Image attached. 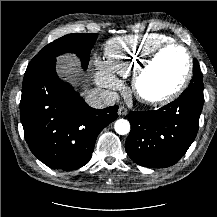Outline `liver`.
I'll use <instances>...</instances> for the list:
<instances>
[{"mask_svg":"<svg viewBox=\"0 0 217 217\" xmlns=\"http://www.w3.org/2000/svg\"><path fill=\"white\" fill-rule=\"evenodd\" d=\"M57 73L62 79L69 82H72L76 76L80 75L79 61L76 56L65 54L59 57L57 61Z\"/></svg>","mask_w":217,"mask_h":217,"instance_id":"liver-1","label":"liver"}]
</instances>
